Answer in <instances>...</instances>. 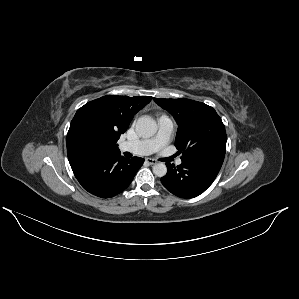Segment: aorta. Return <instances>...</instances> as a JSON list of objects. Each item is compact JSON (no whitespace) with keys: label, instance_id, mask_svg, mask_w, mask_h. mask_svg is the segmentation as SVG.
<instances>
[{"label":"aorta","instance_id":"762f6f07","mask_svg":"<svg viewBox=\"0 0 299 299\" xmlns=\"http://www.w3.org/2000/svg\"><path fill=\"white\" fill-rule=\"evenodd\" d=\"M136 131L142 138L152 137L157 132L156 122L149 116H142L136 122ZM153 173L158 177H163L167 173V167L160 162L153 166Z\"/></svg>","mask_w":299,"mask_h":299}]
</instances>
